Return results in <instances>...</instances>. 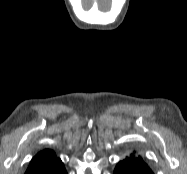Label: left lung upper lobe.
<instances>
[{
	"label": "left lung upper lobe",
	"mask_w": 187,
	"mask_h": 174,
	"mask_svg": "<svg viewBox=\"0 0 187 174\" xmlns=\"http://www.w3.org/2000/svg\"><path fill=\"white\" fill-rule=\"evenodd\" d=\"M120 163L128 167L148 168V165L136 152L131 153L129 157Z\"/></svg>",
	"instance_id": "left-lung-upper-lobe-1"
}]
</instances>
